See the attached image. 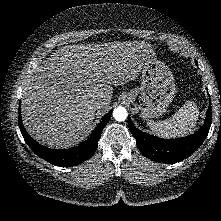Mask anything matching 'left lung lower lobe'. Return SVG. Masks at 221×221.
<instances>
[{
    "label": "left lung lower lobe",
    "instance_id": "obj_1",
    "mask_svg": "<svg viewBox=\"0 0 221 221\" xmlns=\"http://www.w3.org/2000/svg\"><path fill=\"white\" fill-rule=\"evenodd\" d=\"M130 132L136 139L138 149L147 158L159 163H176L195 152L208 135L211 126V105H209L204 125L194 134L178 138L163 139L138 130L128 118Z\"/></svg>",
    "mask_w": 221,
    "mask_h": 221
}]
</instances>
